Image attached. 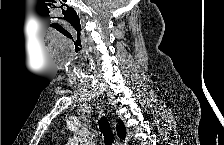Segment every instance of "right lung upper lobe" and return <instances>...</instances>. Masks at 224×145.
<instances>
[{"label": "right lung upper lobe", "mask_w": 224, "mask_h": 145, "mask_svg": "<svg viewBox=\"0 0 224 145\" xmlns=\"http://www.w3.org/2000/svg\"><path fill=\"white\" fill-rule=\"evenodd\" d=\"M117 133H118L119 138L125 139L126 128L121 120H119V128L117 129Z\"/></svg>", "instance_id": "obj_1"}]
</instances>
